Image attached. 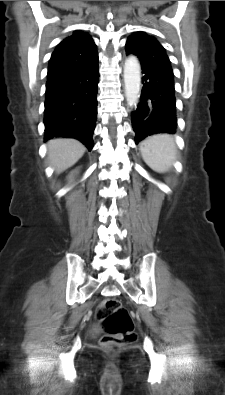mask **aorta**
Instances as JSON below:
<instances>
[{"mask_svg": "<svg viewBox=\"0 0 225 395\" xmlns=\"http://www.w3.org/2000/svg\"><path fill=\"white\" fill-rule=\"evenodd\" d=\"M124 83L127 103L130 107H136L141 91V67L134 56H129L125 61Z\"/></svg>", "mask_w": 225, "mask_h": 395, "instance_id": "1", "label": "aorta"}]
</instances>
